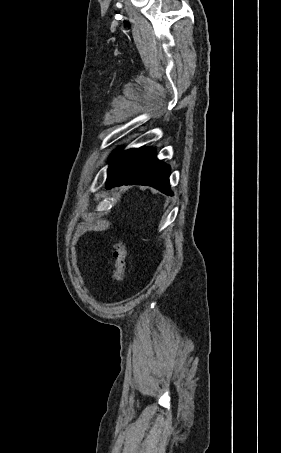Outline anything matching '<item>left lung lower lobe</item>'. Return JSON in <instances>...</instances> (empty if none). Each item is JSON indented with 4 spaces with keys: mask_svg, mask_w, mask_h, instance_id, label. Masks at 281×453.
Here are the masks:
<instances>
[{
    "mask_svg": "<svg viewBox=\"0 0 281 453\" xmlns=\"http://www.w3.org/2000/svg\"><path fill=\"white\" fill-rule=\"evenodd\" d=\"M151 147L116 150L110 159L107 188L120 185H148L167 195H173L169 187L170 167L156 158Z\"/></svg>",
    "mask_w": 281,
    "mask_h": 453,
    "instance_id": "0a47b994",
    "label": "left lung lower lobe"
}]
</instances>
